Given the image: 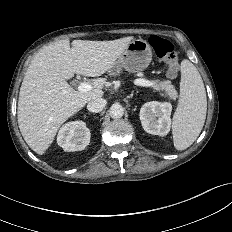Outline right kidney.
I'll return each instance as SVG.
<instances>
[{"instance_id": "right-kidney-1", "label": "right kidney", "mask_w": 232, "mask_h": 232, "mask_svg": "<svg viewBox=\"0 0 232 232\" xmlns=\"http://www.w3.org/2000/svg\"><path fill=\"white\" fill-rule=\"evenodd\" d=\"M89 142L90 130L82 121L66 123L58 132L57 143L67 152L83 150Z\"/></svg>"}]
</instances>
